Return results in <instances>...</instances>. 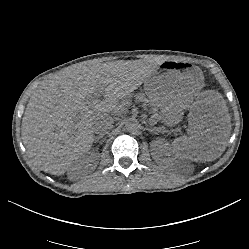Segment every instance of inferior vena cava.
<instances>
[{
    "label": "inferior vena cava",
    "instance_id": "obj_1",
    "mask_svg": "<svg viewBox=\"0 0 249 249\" xmlns=\"http://www.w3.org/2000/svg\"><path fill=\"white\" fill-rule=\"evenodd\" d=\"M114 119L109 114H103L101 119L93 124V131L95 133H107L113 128Z\"/></svg>",
    "mask_w": 249,
    "mask_h": 249
}]
</instances>
